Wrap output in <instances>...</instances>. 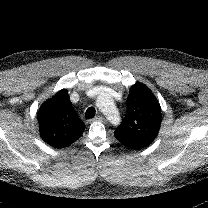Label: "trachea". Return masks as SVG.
Listing matches in <instances>:
<instances>
[{
	"mask_svg": "<svg viewBox=\"0 0 208 208\" xmlns=\"http://www.w3.org/2000/svg\"><path fill=\"white\" fill-rule=\"evenodd\" d=\"M95 113H96L95 108L89 107V108L86 110V113H85L86 118H87V119L93 118V117L95 116Z\"/></svg>",
	"mask_w": 208,
	"mask_h": 208,
	"instance_id": "1",
	"label": "trachea"
}]
</instances>
